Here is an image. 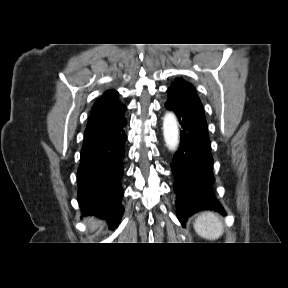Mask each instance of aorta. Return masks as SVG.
Returning a JSON list of instances; mask_svg holds the SVG:
<instances>
[{
	"mask_svg": "<svg viewBox=\"0 0 288 288\" xmlns=\"http://www.w3.org/2000/svg\"><path fill=\"white\" fill-rule=\"evenodd\" d=\"M163 136L169 150L175 151L179 145V129L176 116L167 112L163 118Z\"/></svg>",
	"mask_w": 288,
	"mask_h": 288,
	"instance_id": "aorta-1",
	"label": "aorta"
}]
</instances>
